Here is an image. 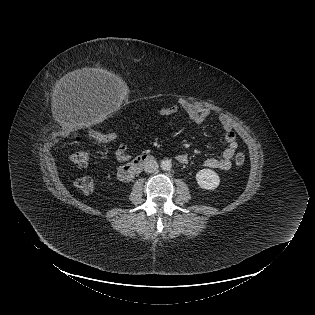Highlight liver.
I'll list each match as a JSON object with an SVG mask.
<instances>
[{
  "label": "liver",
  "instance_id": "6515ba94",
  "mask_svg": "<svg viewBox=\"0 0 315 315\" xmlns=\"http://www.w3.org/2000/svg\"><path fill=\"white\" fill-rule=\"evenodd\" d=\"M88 83L120 84L121 79L107 70L85 67L66 74L60 80L59 85L66 88L70 85H84Z\"/></svg>",
  "mask_w": 315,
  "mask_h": 315
}]
</instances>
